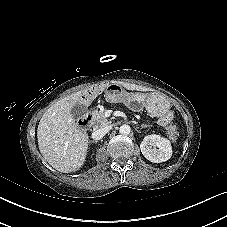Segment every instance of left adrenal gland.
Listing matches in <instances>:
<instances>
[{"mask_svg":"<svg viewBox=\"0 0 227 227\" xmlns=\"http://www.w3.org/2000/svg\"><path fill=\"white\" fill-rule=\"evenodd\" d=\"M148 126H149V125H144V124H143V125L140 126V128L143 129V128H146V127H148Z\"/></svg>","mask_w":227,"mask_h":227,"instance_id":"left-adrenal-gland-1","label":"left adrenal gland"}]
</instances>
